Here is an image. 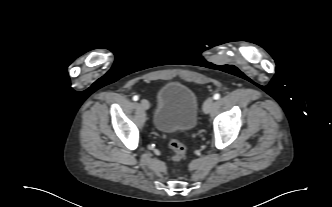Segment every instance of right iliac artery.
<instances>
[{
    "label": "right iliac artery",
    "mask_w": 332,
    "mask_h": 207,
    "mask_svg": "<svg viewBox=\"0 0 332 207\" xmlns=\"http://www.w3.org/2000/svg\"><path fill=\"white\" fill-rule=\"evenodd\" d=\"M139 99V97L137 95L133 96V100L137 101Z\"/></svg>",
    "instance_id": "1"
}]
</instances>
